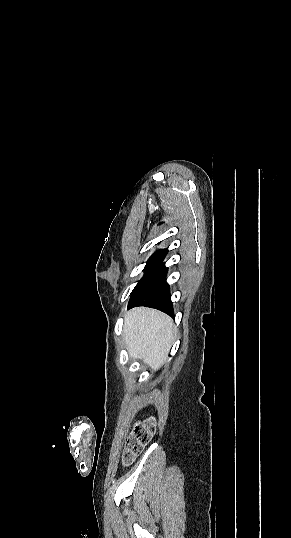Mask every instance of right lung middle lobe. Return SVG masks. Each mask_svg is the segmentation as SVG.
Returning a JSON list of instances; mask_svg holds the SVG:
<instances>
[{"label":"right lung middle lobe","instance_id":"obj_1","mask_svg":"<svg viewBox=\"0 0 291 538\" xmlns=\"http://www.w3.org/2000/svg\"><path fill=\"white\" fill-rule=\"evenodd\" d=\"M167 250H161L156 252L154 255L150 257V259L147 261V264L145 266L146 273L143 276V278L138 282V284L133 289L131 296L134 294L136 289L139 287V285L152 273V271L163 261L164 257L167 254Z\"/></svg>","mask_w":291,"mask_h":538}]
</instances>
